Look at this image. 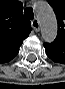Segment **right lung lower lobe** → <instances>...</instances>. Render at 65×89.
I'll return each mask as SVG.
<instances>
[{"label":"right lung lower lobe","instance_id":"obj_1","mask_svg":"<svg viewBox=\"0 0 65 89\" xmlns=\"http://www.w3.org/2000/svg\"><path fill=\"white\" fill-rule=\"evenodd\" d=\"M14 57H15V56H14ZM14 57H13V58H14ZM13 58H11L10 60H12ZM10 60H9V61H10ZM6 62H8V61H6ZM6 62H2V61H1L0 64H1V63H6Z\"/></svg>","mask_w":65,"mask_h":89}]
</instances>
